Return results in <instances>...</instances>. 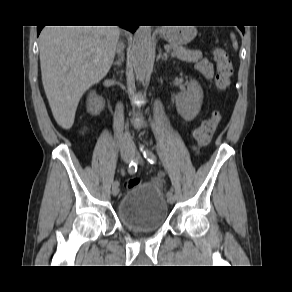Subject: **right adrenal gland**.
<instances>
[{
    "mask_svg": "<svg viewBox=\"0 0 292 292\" xmlns=\"http://www.w3.org/2000/svg\"><path fill=\"white\" fill-rule=\"evenodd\" d=\"M122 61H123V57L121 56V59H119L118 61L114 62L113 65H114V66H118V67H120Z\"/></svg>",
    "mask_w": 292,
    "mask_h": 292,
    "instance_id": "obj_1",
    "label": "right adrenal gland"
}]
</instances>
